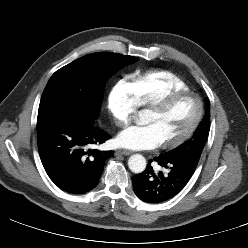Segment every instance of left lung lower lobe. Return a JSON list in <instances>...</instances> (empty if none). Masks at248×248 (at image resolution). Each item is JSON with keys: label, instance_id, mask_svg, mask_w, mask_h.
Returning <instances> with one entry per match:
<instances>
[{"label": "left lung lower lobe", "instance_id": "left-lung-lower-lobe-1", "mask_svg": "<svg viewBox=\"0 0 248 248\" xmlns=\"http://www.w3.org/2000/svg\"><path fill=\"white\" fill-rule=\"evenodd\" d=\"M153 160L167 172H155L150 160L145 171L132 177L134 192L147 203H161L176 196L190 180L199 161L195 157L176 158L164 153Z\"/></svg>", "mask_w": 248, "mask_h": 248}]
</instances>
